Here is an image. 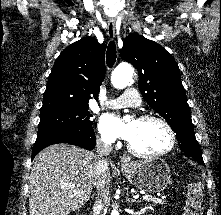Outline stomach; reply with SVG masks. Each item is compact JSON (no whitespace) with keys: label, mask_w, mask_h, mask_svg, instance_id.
<instances>
[{"label":"stomach","mask_w":221,"mask_h":215,"mask_svg":"<svg viewBox=\"0 0 221 215\" xmlns=\"http://www.w3.org/2000/svg\"><path fill=\"white\" fill-rule=\"evenodd\" d=\"M122 171L135 188L149 193L164 190L171 177L168 164L160 158L124 163Z\"/></svg>","instance_id":"1"}]
</instances>
